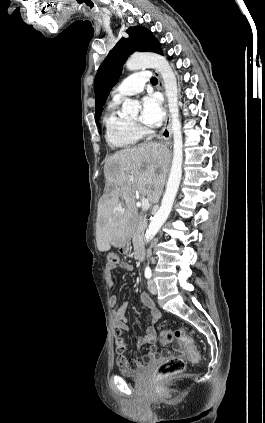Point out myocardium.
Returning a JSON list of instances; mask_svg holds the SVG:
<instances>
[{
  "instance_id": "1",
  "label": "myocardium",
  "mask_w": 265,
  "mask_h": 423,
  "mask_svg": "<svg viewBox=\"0 0 265 423\" xmlns=\"http://www.w3.org/2000/svg\"><path fill=\"white\" fill-rule=\"evenodd\" d=\"M134 125H138L137 121H131Z\"/></svg>"
}]
</instances>
